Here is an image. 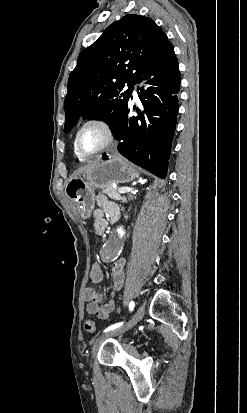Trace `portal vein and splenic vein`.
Instances as JSON below:
<instances>
[{"mask_svg": "<svg viewBox=\"0 0 247 413\" xmlns=\"http://www.w3.org/2000/svg\"><path fill=\"white\" fill-rule=\"evenodd\" d=\"M145 182V180H143ZM132 188H128V186H122V188H118V192H130Z\"/></svg>", "mask_w": 247, "mask_h": 413, "instance_id": "portal-vein-and-splenic-vein-1", "label": "portal vein and splenic vein"}]
</instances>
